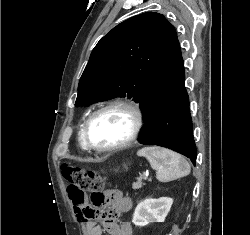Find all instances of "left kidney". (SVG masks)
<instances>
[{"label":"left kidney","instance_id":"left-kidney-1","mask_svg":"<svg viewBox=\"0 0 250 235\" xmlns=\"http://www.w3.org/2000/svg\"><path fill=\"white\" fill-rule=\"evenodd\" d=\"M172 204L173 199L168 197L146 199L137 205L132 222L136 226H146L153 222H164Z\"/></svg>","mask_w":250,"mask_h":235}]
</instances>
